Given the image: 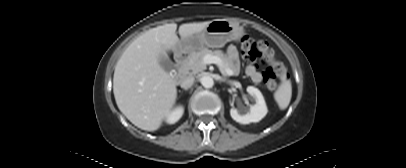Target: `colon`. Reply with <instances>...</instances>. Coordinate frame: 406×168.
Masks as SVG:
<instances>
[{
    "label": "colon",
    "mask_w": 406,
    "mask_h": 168,
    "mask_svg": "<svg viewBox=\"0 0 406 168\" xmlns=\"http://www.w3.org/2000/svg\"><path fill=\"white\" fill-rule=\"evenodd\" d=\"M240 52L248 62H259L265 64L263 81L269 90H275L278 81L285 75L283 66L276 61L273 51L264 41L255 40L249 36L241 39Z\"/></svg>",
    "instance_id": "1"
}]
</instances>
